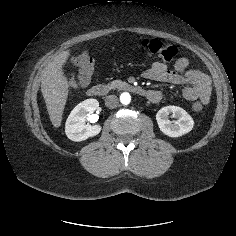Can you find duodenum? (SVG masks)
Instances as JSON below:
<instances>
[{
    "label": "duodenum",
    "instance_id": "1",
    "mask_svg": "<svg viewBox=\"0 0 236 236\" xmlns=\"http://www.w3.org/2000/svg\"><path fill=\"white\" fill-rule=\"evenodd\" d=\"M119 87L128 92L135 93L141 97L148 98V99L152 95L151 90L145 89L141 86H138L132 83H122V84H119ZM108 91H109L108 86L103 85V84H95L88 89L87 94L90 97H100L107 94Z\"/></svg>",
    "mask_w": 236,
    "mask_h": 236
}]
</instances>
